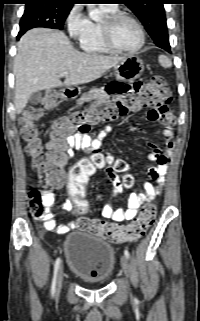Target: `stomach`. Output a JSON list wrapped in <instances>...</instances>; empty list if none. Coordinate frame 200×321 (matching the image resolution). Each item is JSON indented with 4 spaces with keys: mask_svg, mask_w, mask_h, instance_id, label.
<instances>
[{
    "mask_svg": "<svg viewBox=\"0 0 200 321\" xmlns=\"http://www.w3.org/2000/svg\"><path fill=\"white\" fill-rule=\"evenodd\" d=\"M144 71L143 61L136 56L125 57L115 66V76L118 80L132 81L139 78ZM80 94V88L67 87L62 90L61 97L75 99Z\"/></svg>",
    "mask_w": 200,
    "mask_h": 321,
    "instance_id": "1",
    "label": "stomach"
}]
</instances>
